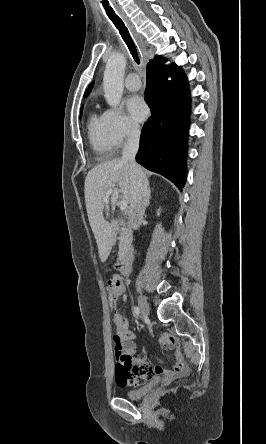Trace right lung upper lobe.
Segmentation results:
<instances>
[{
    "label": "right lung upper lobe",
    "instance_id": "right-lung-upper-lobe-1",
    "mask_svg": "<svg viewBox=\"0 0 266 444\" xmlns=\"http://www.w3.org/2000/svg\"><path fill=\"white\" fill-rule=\"evenodd\" d=\"M163 60H164V59H163L161 56H155V58H154L153 60H150V62H149L148 64L161 62V61H163ZM93 85H94V82H92V83L88 86V89H86V91H85V93H84V97H87V96L90 94L91 89L93 88Z\"/></svg>",
    "mask_w": 266,
    "mask_h": 444
}]
</instances>
